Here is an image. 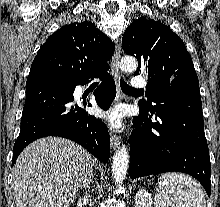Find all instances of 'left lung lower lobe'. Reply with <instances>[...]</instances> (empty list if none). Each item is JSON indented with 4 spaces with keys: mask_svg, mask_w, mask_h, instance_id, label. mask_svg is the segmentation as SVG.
<instances>
[{
    "mask_svg": "<svg viewBox=\"0 0 220 207\" xmlns=\"http://www.w3.org/2000/svg\"><path fill=\"white\" fill-rule=\"evenodd\" d=\"M154 103L152 109L139 103V117L133 118L130 178L183 172L196 178L210 196L211 164L199 89H167ZM153 114L157 122L151 121Z\"/></svg>",
    "mask_w": 220,
    "mask_h": 207,
    "instance_id": "obj_1",
    "label": "left lung lower lobe"
}]
</instances>
